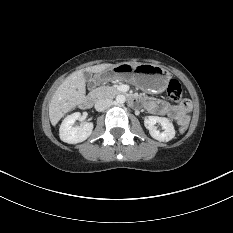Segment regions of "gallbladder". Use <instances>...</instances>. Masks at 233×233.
<instances>
[{"label": "gallbladder", "mask_w": 233, "mask_h": 233, "mask_svg": "<svg viewBox=\"0 0 233 233\" xmlns=\"http://www.w3.org/2000/svg\"><path fill=\"white\" fill-rule=\"evenodd\" d=\"M83 75H84L85 81L89 83L91 81L92 74L90 72L85 71Z\"/></svg>", "instance_id": "1"}]
</instances>
